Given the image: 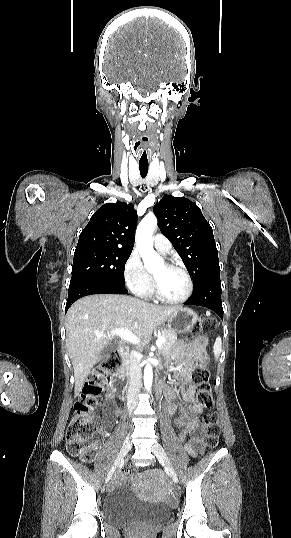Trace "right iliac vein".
Listing matches in <instances>:
<instances>
[{"mask_svg":"<svg viewBox=\"0 0 291 538\" xmlns=\"http://www.w3.org/2000/svg\"><path fill=\"white\" fill-rule=\"evenodd\" d=\"M131 449V440H130V435L128 434L123 442V445H122V448L117 456V458L115 459L112 467L110 468L109 472H108V475L106 477V483L111 479L113 473L115 472V470L117 469L118 465L120 464V462L122 461V459L125 457V455L129 452V450Z\"/></svg>","mask_w":291,"mask_h":538,"instance_id":"obj_1","label":"right iliac vein"}]
</instances>
